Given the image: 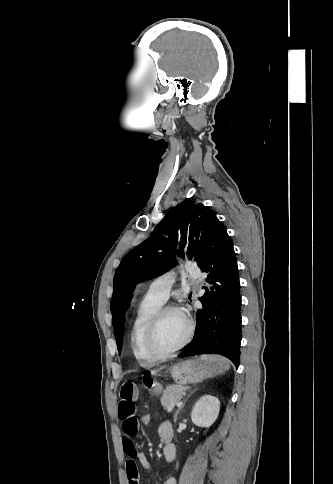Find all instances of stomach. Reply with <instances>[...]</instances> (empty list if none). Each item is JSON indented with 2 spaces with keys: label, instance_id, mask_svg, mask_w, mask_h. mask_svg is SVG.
<instances>
[{
  "label": "stomach",
  "instance_id": "0dacf381",
  "mask_svg": "<svg viewBox=\"0 0 333 484\" xmlns=\"http://www.w3.org/2000/svg\"><path fill=\"white\" fill-rule=\"evenodd\" d=\"M229 367L225 358L204 355L192 359L182 360L171 367L169 373L178 385L194 384L204 379L215 377ZM158 371H150L144 386L153 394H159L162 386L155 380Z\"/></svg>",
  "mask_w": 333,
  "mask_h": 484
}]
</instances>
